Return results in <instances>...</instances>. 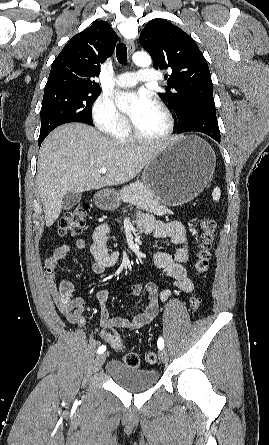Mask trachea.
Returning a JSON list of instances; mask_svg holds the SVG:
<instances>
[{
	"instance_id": "1",
	"label": "trachea",
	"mask_w": 269,
	"mask_h": 445,
	"mask_svg": "<svg viewBox=\"0 0 269 445\" xmlns=\"http://www.w3.org/2000/svg\"><path fill=\"white\" fill-rule=\"evenodd\" d=\"M116 56L120 64H127V47L123 43H118L116 46Z\"/></svg>"
}]
</instances>
